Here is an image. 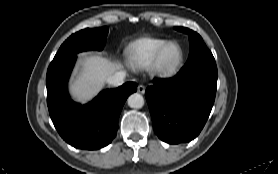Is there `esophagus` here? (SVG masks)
<instances>
[{
    "mask_svg": "<svg viewBox=\"0 0 278 174\" xmlns=\"http://www.w3.org/2000/svg\"><path fill=\"white\" fill-rule=\"evenodd\" d=\"M137 90H138L139 93L144 94L145 93V86L140 84V85H138Z\"/></svg>",
    "mask_w": 278,
    "mask_h": 174,
    "instance_id": "obj_1",
    "label": "esophagus"
}]
</instances>
